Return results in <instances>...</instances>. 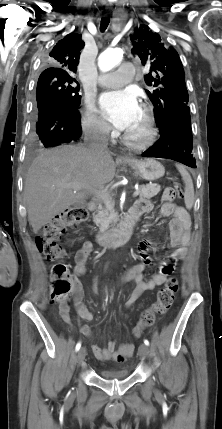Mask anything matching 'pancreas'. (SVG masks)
<instances>
[{
  "mask_svg": "<svg viewBox=\"0 0 222 429\" xmlns=\"http://www.w3.org/2000/svg\"><path fill=\"white\" fill-rule=\"evenodd\" d=\"M160 192V186L155 184H147L140 187L139 196L141 199H150ZM104 206L98 209L95 216L96 224L99 226L100 232L109 230L110 225L116 222V213L114 210L115 203L110 197L102 199Z\"/></svg>",
  "mask_w": 222,
  "mask_h": 429,
  "instance_id": "pancreas-1",
  "label": "pancreas"
}]
</instances>
